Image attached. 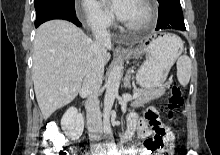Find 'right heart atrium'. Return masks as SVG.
<instances>
[{
	"label": "right heart atrium",
	"mask_w": 220,
	"mask_h": 155,
	"mask_svg": "<svg viewBox=\"0 0 220 155\" xmlns=\"http://www.w3.org/2000/svg\"><path fill=\"white\" fill-rule=\"evenodd\" d=\"M78 15L91 30L105 31L113 24L112 15L103 9L96 0H81Z\"/></svg>",
	"instance_id": "obj_1"
}]
</instances>
